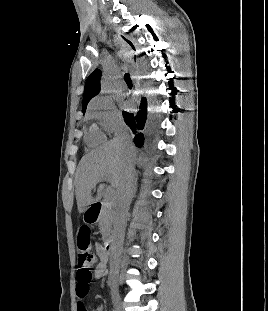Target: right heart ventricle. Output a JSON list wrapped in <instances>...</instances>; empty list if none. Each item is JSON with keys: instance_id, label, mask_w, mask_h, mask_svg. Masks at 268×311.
Wrapping results in <instances>:
<instances>
[{"instance_id": "e07e8e85", "label": "right heart ventricle", "mask_w": 268, "mask_h": 311, "mask_svg": "<svg viewBox=\"0 0 268 311\" xmlns=\"http://www.w3.org/2000/svg\"><path fill=\"white\" fill-rule=\"evenodd\" d=\"M104 139L103 134L96 128L92 127L87 134L86 140L89 144L94 145Z\"/></svg>"}]
</instances>
